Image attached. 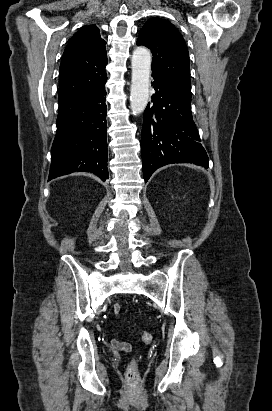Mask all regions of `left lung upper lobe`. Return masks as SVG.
<instances>
[{
	"instance_id": "5c2ea615",
	"label": "left lung upper lobe",
	"mask_w": 272,
	"mask_h": 411,
	"mask_svg": "<svg viewBox=\"0 0 272 411\" xmlns=\"http://www.w3.org/2000/svg\"><path fill=\"white\" fill-rule=\"evenodd\" d=\"M137 45L152 51L153 77L191 96L188 50L172 23L157 17L149 19L139 32Z\"/></svg>"
}]
</instances>
